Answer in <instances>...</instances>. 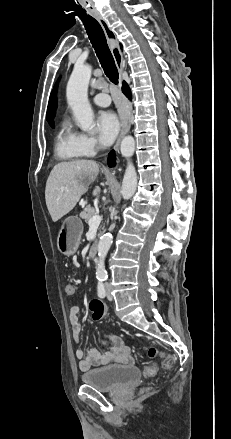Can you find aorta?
Here are the masks:
<instances>
[{"label":"aorta","instance_id":"obj_1","mask_svg":"<svg viewBox=\"0 0 231 439\" xmlns=\"http://www.w3.org/2000/svg\"><path fill=\"white\" fill-rule=\"evenodd\" d=\"M92 67L90 65H76L69 78L66 90L67 102L72 109L75 120L82 131H93V111L88 101V85L91 78ZM121 154L127 159L121 195L124 200L130 199L137 187V173L130 158L135 151V140L132 136H126L121 142ZM111 233L104 234L98 244V263L96 277L107 276L105 258L112 245Z\"/></svg>","mask_w":231,"mask_h":439}]
</instances>
